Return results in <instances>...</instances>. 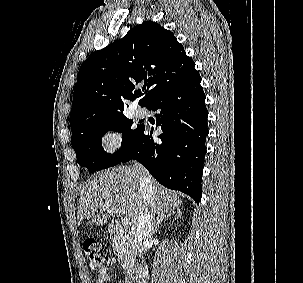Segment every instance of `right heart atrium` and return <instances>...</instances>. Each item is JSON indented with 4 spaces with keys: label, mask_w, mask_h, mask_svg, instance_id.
Instances as JSON below:
<instances>
[{
    "label": "right heart atrium",
    "mask_w": 303,
    "mask_h": 283,
    "mask_svg": "<svg viewBox=\"0 0 303 283\" xmlns=\"http://www.w3.org/2000/svg\"><path fill=\"white\" fill-rule=\"evenodd\" d=\"M123 141L122 132L113 126L105 127L100 133L99 142L107 155L117 154L122 149Z\"/></svg>",
    "instance_id": "d8ad5b80"
}]
</instances>
